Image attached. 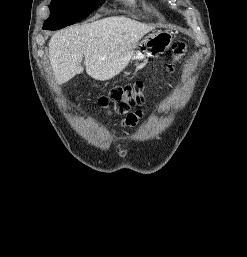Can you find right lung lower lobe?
Instances as JSON below:
<instances>
[{
    "mask_svg": "<svg viewBox=\"0 0 247 257\" xmlns=\"http://www.w3.org/2000/svg\"><path fill=\"white\" fill-rule=\"evenodd\" d=\"M44 29H49V30H53V29H50V28H45V27H43Z\"/></svg>",
    "mask_w": 247,
    "mask_h": 257,
    "instance_id": "98d812e1",
    "label": "right lung lower lobe"
}]
</instances>
